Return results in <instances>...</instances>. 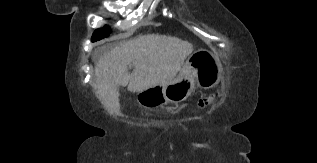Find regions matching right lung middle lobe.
<instances>
[{
  "instance_id": "dd1d6c3e",
  "label": "right lung middle lobe",
  "mask_w": 317,
  "mask_h": 163,
  "mask_svg": "<svg viewBox=\"0 0 317 163\" xmlns=\"http://www.w3.org/2000/svg\"><path fill=\"white\" fill-rule=\"evenodd\" d=\"M110 33H111L110 28L107 25H105L103 28L97 29L94 32L91 41L95 42V41L100 40L102 38L108 37L110 35Z\"/></svg>"
}]
</instances>
